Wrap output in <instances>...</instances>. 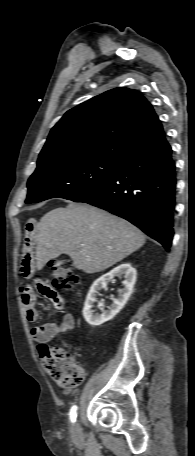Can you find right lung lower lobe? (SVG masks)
<instances>
[{
  "label": "right lung lower lobe",
  "mask_w": 195,
  "mask_h": 456,
  "mask_svg": "<svg viewBox=\"0 0 195 456\" xmlns=\"http://www.w3.org/2000/svg\"><path fill=\"white\" fill-rule=\"evenodd\" d=\"M175 189V162L167 144L121 162L112 177L72 201L130 221L168 251L174 235Z\"/></svg>",
  "instance_id": "right-lung-lower-lobe-1"
}]
</instances>
